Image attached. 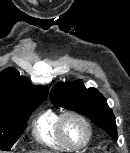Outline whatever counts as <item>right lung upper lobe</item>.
<instances>
[{"mask_svg": "<svg viewBox=\"0 0 130 153\" xmlns=\"http://www.w3.org/2000/svg\"><path fill=\"white\" fill-rule=\"evenodd\" d=\"M48 89L32 86L13 68L0 72V109H19L34 102L44 101Z\"/></svg>", "mask_w": 130, "mask_h": 153, "instance_id": "cb5924a9", "label": "right lung upper lobe"}]
</instances>
